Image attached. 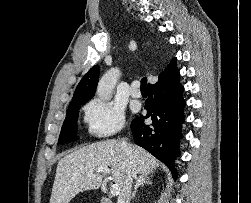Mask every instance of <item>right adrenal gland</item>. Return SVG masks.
<instances>
[{
  "mask_svg": "<svg viewBox=\"0 0 251 203\" xmlns=\"http://www.w3.org/2000/svg\"><path fill=\"white\" fill-rule=\"evenodd\" d=\"M150 177H152V174L146 173V174H141L136 181V185L134 187V191L132 192L131 198L134 199L136 196V192L139 187H143L145 184H152L150 181Z\"/></svg>",
  "mask_w": 251,
  "mask_h": 203,
  "instance_id": "obj_1",
  "label": "right adrenal gland"
}]
</instances>
